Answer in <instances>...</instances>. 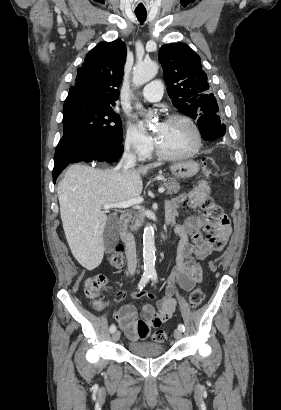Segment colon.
<instances>
[{
    "label": "colon",
    "mask_w": 281,
    "mask_h": 410,
    "mask_svg": "<svg viewBox=\"0 0 281 410\" xmlns=\"http://www.w3.org/2000/svg\"><path fill=\"white\" fill-rule=\"evenodd\" d=\"M202 172L206 178H211L219 173V167L216 161L211 157H206L202 160ZM200 213H205L209 215H220L223 217L225 222L229 219L227 216L220 213L219 206L215 203L214 199L211 197H205L199 208ZM109 262L114 267H120L123 263V257L121 252V247H118L115 252L109 256ZM107 290V278L103 274H97L89 276L84 281V292L86 296L93 300L94 305L97 309L101 310L105 307L106 303L103 299V295ZM204 299L203 291L200 288L193 290L188 298V304L191 309H196L200 306ZM168 334L164 330H157L153 332L152 339L157 343H164L167 341Z\"/></svg>",
    "instance_id": "5ec220e1"
}]
</instances>
